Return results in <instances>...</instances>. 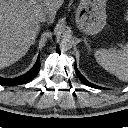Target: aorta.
<instances>
[{
	"label": "aorta",
	"mask_w": 128,
	"mask_h": 128,
	"mask_svg": "<svg viewBox=\"0 0 128 128\" xmlns=\"http://www.w3.org/2000/svg\"><path fill=\"white\" fill-rule=\"evenodd\" d=\"M58 46L61 50H69L73 45V38L70 35H63L57 39Z\"/></svg>",
	"instance_id": "762f6f07"
}]
</instances>
